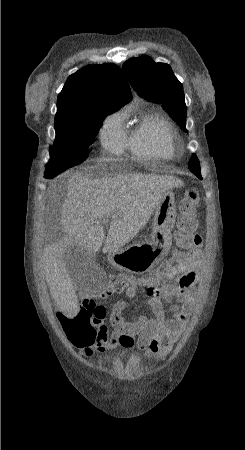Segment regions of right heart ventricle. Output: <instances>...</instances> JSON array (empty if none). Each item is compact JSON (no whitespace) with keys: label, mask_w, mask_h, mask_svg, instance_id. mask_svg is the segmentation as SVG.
<instances>
[{"label":"right heart ventricle","mask_w":245,"mask_h":450,"mask_svg":"<svg viewBox=\"0 0 245 450\" xmlns=\"http://www.w3.org/2000/svg\"><path fill=\"white\" fill-rule=\"evenodd\" d=\"M130 151L140 157L170 158L174 153L172 134L158 114L145 115L126 137Z\"/></svg>","instance_id":"right-heart-ventricle-1"}]
</instances>
